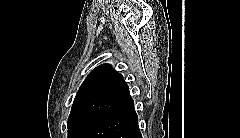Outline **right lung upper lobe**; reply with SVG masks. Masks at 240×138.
I'll use <instances>...</instances> for the list:
<instances>
[{"label": "right lung upper lobe", "mask_w": 240, "mask_h": 138, "mask_svg": "<svg viewBox=\"0 0 240 138\" xmlns=\"http://www.w3.org/2000/svg\"><path fill=\"white\" fill-rule=\"evenodd\" d=\"M132 101L123 76L112 69L110 64H103L91 71L82 83L75 96L70 116L82 113L110 115Z\"/></svg>", "instance_id": "1"}]
</instances>
